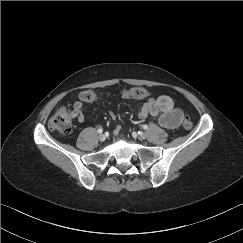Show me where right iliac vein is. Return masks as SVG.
<instances>
[{
	"instance_id": "1",
	"label": "right iliac vein",
	"mask_w": 243,
	"mask_h": 243,
	"mask_svg": "<svg viewBox=\"0 0 243 243\" xmlns=\"http://www.w3.org/2000/svg\"><path fill=\"white\" fill-rule=\"evenodd\" d=\"M98 139H99L100 141H104V140L106 139V137H105L104 134H99Z\"/></svg>"
}]
</instances>
